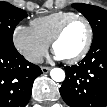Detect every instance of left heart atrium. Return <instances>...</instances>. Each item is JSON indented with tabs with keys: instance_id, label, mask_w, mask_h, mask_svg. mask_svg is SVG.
<instances>
[{
	"instance_id": "39dd6f15",
	"label": "left heart atrium",
	"mask_w": 107,
	"mask_h": 107,
	"mask_svg": "<svg viewBox=\"0 0 107 107\" xmlns=\"http://www.w3.org/2000/svg\"><path fill=\"white\" fill-rule=\"evenodd\" d=\"M56 59H58V60H61V59H63L60 55H58L57 53H55V56H54Z\"/></svg>"
}]
</instances>
